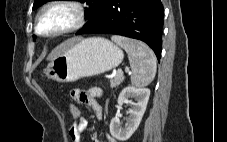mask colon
I'll use <instances>...</instances> for the list:
<instances>
[{
    "instance_id": "obj_1",
    "label": "colon",
    "mask_w": 227,
    "mask_h": 142,
    "mask_svg": "<svg viewBox=\"0 0 227 142\" xmlns=\"http://www.w3.org/2000/svg\"><path fill=\"white\" fill-rule=\"evenodd\" d=\"M69 112L72 116L74 123H79L84 119L81 110L74 104H69Z\"/></svg>"
}]
</instances>
